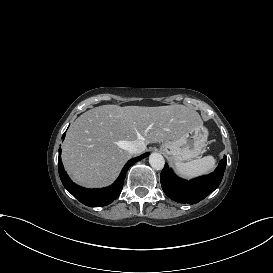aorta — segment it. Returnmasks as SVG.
I'll return each mask as SVG.
<instances>
[{"instance_id": "1", "label": "aorta", "mask_w": 273, "mask_h": 273, "mask_svg": "<svg viewBox=\"0 0 273 273\" xmlns=\"http://www.w3.org/2000/svg\"><path fill=\"white\" fill-rule=\"evenodd\" d=\"M149 163L153 169L161 170V169H163V167L165 165V160L161 154L152 153L149 156Z\"/></svg>"}]
</instances>
